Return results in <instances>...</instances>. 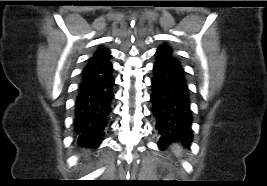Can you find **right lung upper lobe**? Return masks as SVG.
<instances>
[{
    "label": "right lung upper lobe",
    "mask_w": 267,
    "mask_h": 186,
    "mask_svg": "<svg viewBox=\"0 0 267 186\" xmlns=\"http://www.w3.org/2000/svg\"><path fill=\"white\" fill-rule=\"evenodd\" d=\"M110 51L108 49L102 48L98 49L92 57L89 58L87 67L89 66H96L102 64L104 62L109 61L110 58Z\"/></svg>",
    "instance_id": "cb5924a9"
}]
</instances>
